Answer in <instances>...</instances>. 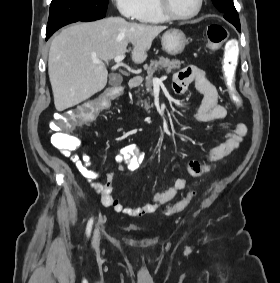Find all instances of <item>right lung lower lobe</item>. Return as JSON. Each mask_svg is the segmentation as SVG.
<instances>
[{"instance_id":"1","label":"right lung lower lobe","mask_w":280,"mask_h":283,"mask_svg":"<svg viewBox=\"0 0 280 283\" xmlns=\"http://www.w3.org/2000/svg\"><path fill=\"white\" fill-rule=\"evenodd\" d=\"M74 22H77V21H63V22H59L55 25H52L50 27H47L46 29V40L55 32L57 31L59 28L67 25V24H70V23H74Z\"/></svg>"}]
</instances>
